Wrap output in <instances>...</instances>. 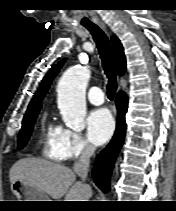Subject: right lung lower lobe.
Returning a JSON list of instances; mask_svg holds the SVG:
<instances>
[{"label": "right lung lower lobe", "mask_w": 176, "mask_h": 211, "mask_svg": "<svg viewBox=\"0 0 176 211\" xmlns=\"http://www.w3.org/2000/svg\"><path fill=\"white\" fill-rule=\"evenodd\" d=\"M116 106L118 109V117L115 134L108 146L97 157L93 169L94 181L103 192L109 191V181L112 168L125 137L127 96L124 92H119L116 95Z\"/></svg>", "instance_id": "obj_1"}]
</instances>
